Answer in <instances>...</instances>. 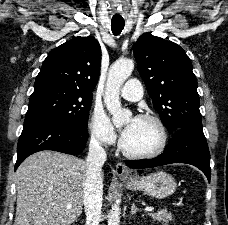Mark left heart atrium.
<instances>
[{"label":"left heart atrium","mask_w":228,"mask_h":225,"mask_svg":"<svg viewBox=\"0 0 228 225\" xmlns=\"http://www.w3.org/2000/svg\"><path fill=\"white\" fill-rule=\"evenodd\" d=\"M136 121H137V119L133 118L124 127L123 132H122L124 138H128L132 134Z\"/></svg>","instance_id":"39dd6f15"}]
</instances>
